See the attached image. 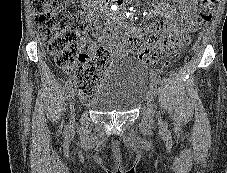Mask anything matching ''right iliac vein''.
Masks as SVG:
<instances>
[{
  "mask_svg": "<svg viewBox=\"0 0 227 173\" xmlns=\"http://www.w3.org/2000/svg\"><path fill=\"white\" fill-rule=\"evenodd\" d=\"M69 107H70V123L75 122V94L72 90L69 94Z\"/></svg>",
  "mask_w": 227,
  "mask_h": 173,
  "instance_id": "63e3f726",
  "label": "right iliac vein"
}]
</instances>
